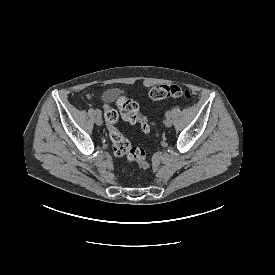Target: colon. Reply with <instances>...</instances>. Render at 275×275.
<instances>
[{
	"label": "colon",
	"instance_id": "1",
	"mask_svg": "<svg viewBox=\"0 0 275 275\" xmlns=\"http://www.w3.org/2000/svg\"><path fill=\"white\" fill-rule=\"evenodd\" d=\"M149 96L153 100H162L168 97H183L186 100L191 98L190 92L178 84L156 85L151 88ZM117 106L120 108L123 118L130 123L138 124L144 133L154 130L155 124L145 116L133 100L126 96H120ZM104 117L108 124L114 154L125 157L130 162H135L141 171H146L150 166L146 152L142 148L132 147L129 140L115 126L118 119L117 110L110 105L104 106Z\"/></svg>",
	"mask_w": 275,
	"mask_h": 275
}]
</instances>
